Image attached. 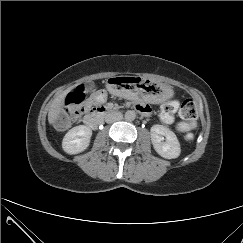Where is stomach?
Listing matches in <instances>:
<instances>
[{
	"label": "stomach",
	"mask_w": 243,
	"mask_h": 243,
	"mask_svg": "<svg viewBox=\"0 0 243 243\" xmlns=\"http://www.w3.org/2000/svg\"><path fill=\"white\" fill-rule=\"evenodd\" d=\"M107 85L115 95L145 101L148 104H166L173 97V92L167 85L148 78L116 76L109 79Z\"/></svg>",
	"instance_id": "1"
}]
</instances>
